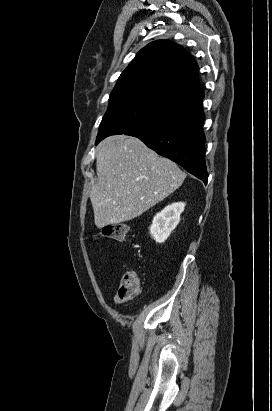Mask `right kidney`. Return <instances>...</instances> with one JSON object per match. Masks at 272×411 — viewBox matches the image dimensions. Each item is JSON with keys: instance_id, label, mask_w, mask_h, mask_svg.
<instances>
[{"instance_id": "1", "label": "right kidney", "mask_w": 272, "mask_h": 411, "mask_svg": "<svg viewBox=\"0 0 272 411\" xmlns=\"http://www.w3.org/2000/svg\"><path fill=\"white\" fill-rule=\"evenodd\" d=\"M184 208V202L172 203L154 216L150 226V234L157 243L165 242L170 233L176 228Z\"/></svg>"}]
</instances>
